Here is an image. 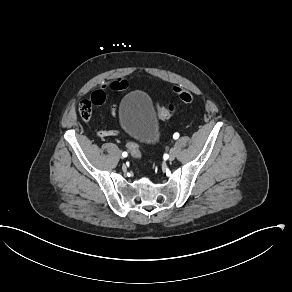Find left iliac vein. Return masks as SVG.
Returning a JSON list of instances; mask_svg holds the SVG:
<instances>
[{"label": "left iliac vein", "instance_id": "1", "mask_svg": "<svg viewBox=\"0 0 292 292\" xmlns=\"http://www.w3.org/2000/svg\"><path fill=\"white\" fill-rule=\"evenodd\" d=\"M176 157V150L175 149H171L169 152V156H168V160L169 161H173Z\"/></svg>", "mask_w": 292, "mask_h": 292}]
</instances>
